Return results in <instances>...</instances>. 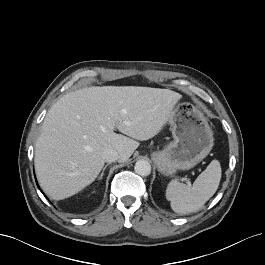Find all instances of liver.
Returning a JSON list of instances; mask_svg holds the SVG:
<instances>
[{
    "mask_svg": "<svg viewBox=\"0 0 265 265\" xmlns=\"http://www.w3.org/2000/svg\"><path fill=\"white\" fill-rule=\"evenodd\" d=\"M181 98L169 89L138 86H93L64 95L48 111L35 144L41 188L54 200L83 190L102 170L105 150L127 161L138 141L162 130Z\"/></svg>",
    "mask_w": 265,
    "mask_h": 265,
    "instance_id": "6515ba94",
    "label": "liver"
}]
</instances>
